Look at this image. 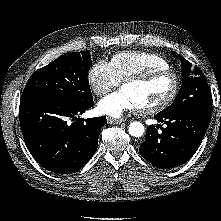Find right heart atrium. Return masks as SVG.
Returning a JSON list of instances; mask_svg holds the SVG:
<instances>
[{
    "mask_svg": "<svg viewBox=\"0 0 221 221\" xmlns=\"http://www.w3.org/2000/svg\"><path fill=\"white\" fill-rule=\"evenodd\" d=\"M87 82L91 91L99 97L106 95L120 84L112 67L104 60L92 64L87 73Z\"/></svg>",
    "mask_w": 221,
    "mask_h": 221,
    "instance_id": "right-heart-atrium-1",
    "label": "right heart atrium"
}]
</instances>
